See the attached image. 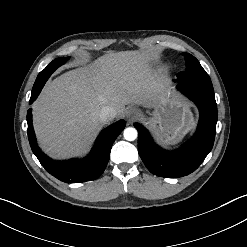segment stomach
Masks as SVG:
<instances>
[{"mask_svg":"<svg viewBox=\"0 0 247 247\" xmlns=\"http://www.w3.org/2000/svg\"><path fill=\"white\" fill-rule=\"evenodd\" d=\"M154 106L152 116L143 117V120L160 142L178 143L194 126L190 106L170 91L163 92Z\"/></svg>","mask_w":247,"mask_h":247,"instance_id":"stomach-1","label":"stomach"}]
</instances>
